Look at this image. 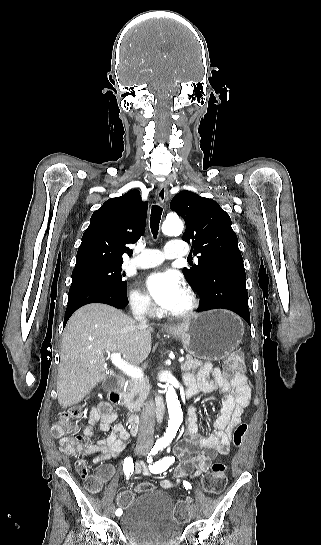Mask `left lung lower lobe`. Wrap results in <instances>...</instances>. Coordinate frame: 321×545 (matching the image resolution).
<instances>
[{
  "label": "left lung lower lobe",
  "mask_w": 321,
  "mask_h": 545,
  "mask_svg": "<svg viewBox=\"0 0 321 545\" xmlns=\"http://www.w3.org/2000/svg\"><path fill=\"white\" fill-rule=\"evenodd\" d=\"M246 274L243 259L218 263L196 286L200 294L198 312L223 308L241 316L250 325Z\"/></svg>",
  "instance_id": "0a47b994"
}]
</instances>
